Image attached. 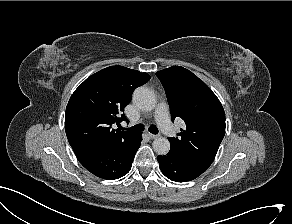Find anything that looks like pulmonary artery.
Returning <instances> with one entry per match:
<instances>
[{"mask_svg": "<svg viewBox=\"0 0 292 224\" xmlns=\"http://www.w3.org/2000/svg\"><path fill=\"white\" fill-rule=\"evenodd\" d=\"M155 119L162 131L169 137H175L176 127L170 122L167 104L159 103L155 110Z\"/></svg>", "mask_w": 292, "mask_h": 224, "instance_id": "e3ab8cb5", "label": "pulmonary artery"}]
</instances>
